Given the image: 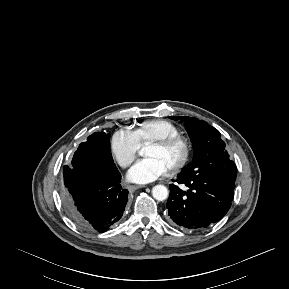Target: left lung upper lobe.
Here are the masks:
<instances>
[{
    "label": "left lung upper lobe",
    "instance_id": "left-lung-upper-lobe-1",
    "mask_svg": "<svg viewBox=\"0 0 289 289\" xmlns=\"http://www.w3.org/2000/svg\"><path fill=\"white\" fill-rule=\"evenodd\" d=\"M170 119L185 121L192 141L193 162L179 174L186 177L219 175L235 183L237 168L225 150L220 132L203 120L188 116H171Z\"/></svg>",
    "mask_w": 289,
    "mask_h": 289
}]
</instances>
